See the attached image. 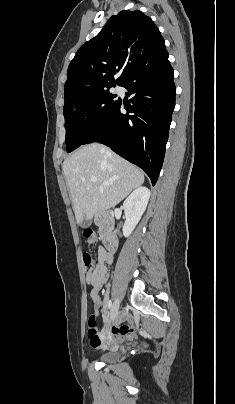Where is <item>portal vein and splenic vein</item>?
<instances>
[{"label": "portal vein and splenic vein", "mask_w": 235, "mask_h": 404, "mask_svg": "<svg viewBox=\"0 0 235 404\" xmlns=\"http://www.w3.org/2000/svg\"><path fill=\"white\" fill-rule=\"evenodd\" d=\"M91 181H92V182H96L97 179H96L95 177H91ZM110 184H112V182H104V183H103V185H110Z\"/></svg>", "instance_id": "portal-vein-and-splenic-vein-1"}]
</instances>
